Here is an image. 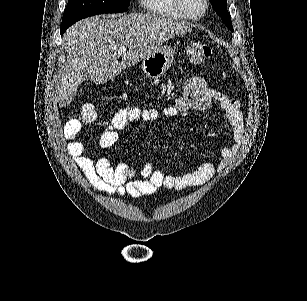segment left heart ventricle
Instances as JSON below:
<instances>
[{"mask_svg":"<svg viewBox=\"0 0 307 301\" xmlns=\"http://www.w3.org/2000/svg\"><path fill=\"white\" fill-rule=\"evenodd\" d=\"M187 4V12L186 13H198L199 8L198 6V0H185L182 1Z\"/></svg>","mask_w":307,"mask_h":301,"instance_id":"left-heart-ventricle-1","label":"left heart ventricle"}]
</instances>
